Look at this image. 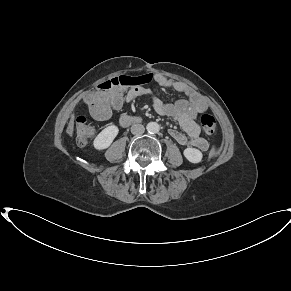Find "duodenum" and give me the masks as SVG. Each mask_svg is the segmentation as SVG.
<instances>
[{
    "mask_svg": "<svg viewBox=\"0 0 291 291\" xmlns=\"http://www.w3.org/2000/svg\"><path fill=\"white\" fill-rule=\"evenodd\" d=\"M141 119L137 116H132V115H123L120 118V123L122 126H130L132 124H137L140 123Z\"/></svg>",
    "mask_w": 291,
    "mask_h": 291,
    "instance_id": "1",
    "label": "duodenum"
}]
</instances>
